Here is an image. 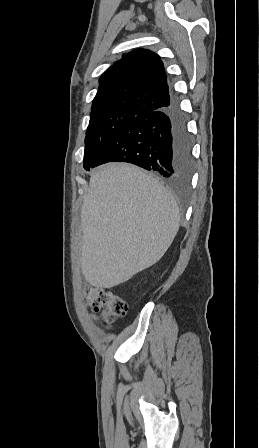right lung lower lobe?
Wrapping results in <instances>:
<instances>
[{
  "label": "right lung lower lobe",
  "mask_w": 259,
  "mask_h": 448,
  "mask_svg": "<svg viewBox=\"0 0 259 448\" xmlns=\"http://www.w3.org/2000/svg\"><path fill=\"white\" fill-rule=\"evenodd\" d=\"M170 93L168 105L130 121L90 168L111 161L129 162L156 171L173 185H185L192 169L191 138L178 100Z\"/></svg>",
  "instance_id": "obj_1"
}]
</instances>
